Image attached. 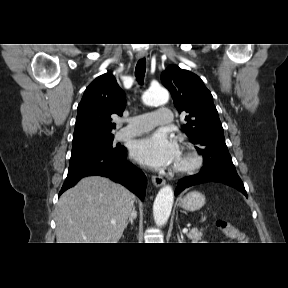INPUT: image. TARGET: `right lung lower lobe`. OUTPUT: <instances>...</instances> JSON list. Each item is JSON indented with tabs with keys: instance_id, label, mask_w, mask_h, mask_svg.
I'll return each instance as SVG.
<instances>
[{
	"instance_id": "right-lung-lower-lobe-1",
	"label": "right lung lower lobe",
	"mask_w": 288,
	"mask_h": 288,
	"mask_svg": "<svg viewBox=\"0 0 288 288\" xmlns=\"http://www.w3.org/2000/svg\"><path fill=\"white\" fill-rule=\"evenodd\" d=\"M99 175L112 179L127 187L144 200L147 179L144 173L127 161V149L122 148L116 154H99L70 163L68 175L59 192V196L74 186L81 178Z\"/></svg>"
}]
</instances>
